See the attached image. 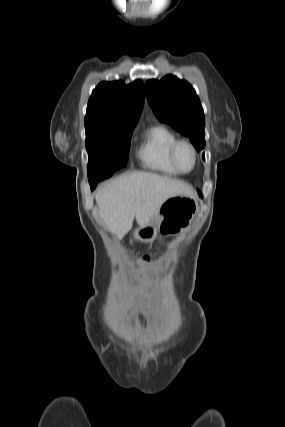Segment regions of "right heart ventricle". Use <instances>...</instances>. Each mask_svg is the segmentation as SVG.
<instances>
[{"label": "right heart ventricle", "instance_id": "right-heart-ventricle-1", "mask_svg": "<svg viewBox=\"0 0 285 427\" xmlns=\"http://www.w3.org/2000/svg\"><path fill=\"white\" fill-rule=\"evenodd\" d=\"M178 137L169 127L156 124L149 127L142 135L137 150V157L142 166L164 175L180 174L171 164L169 151Z\"/></svg>", "mask_w": 285, "mask_h": 427}]
</instances>
